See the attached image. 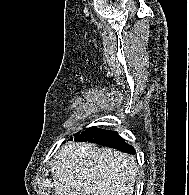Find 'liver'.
Returning <instances> with one entry per match:
<instances>
[{
  "instance_id": "6515ba94",
  "label": "liver",
  "mask_w": 189,
  "mask_h": 195,
  "mask_svg": "<svg viewBox=\"0 0 189 195\" xmlns=\"http://www.w3.org/2000/svg\"><path fill=\"white\" fill-rule=\"evenodd\" d=\"M55 195H133V156L91 143H68L52 166Z\"/></svg>"
}]
</instances>
